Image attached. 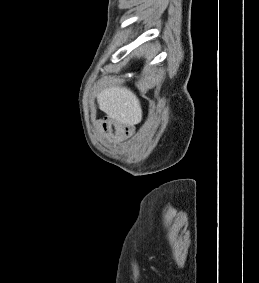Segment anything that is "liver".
Returning <instances> with one entry per match:
<instances>
[{"mask_svg": "<svg viewBox=\"0 0 259 283\" xmlns=\"http://www.w3.org/2000/svg\"><path fill=\"white\" fill-rule=\"evenodd\" d=\"M140 51L143 53L144 48ZM97 101L100 110L120 123L132 126L142 120L139 99L126 87H107L98 93Z\"/></svg>", "mask_w": 259, "mask_h": 283, "instance_id": "liver-1", "label": "liver"}]
</instances>
